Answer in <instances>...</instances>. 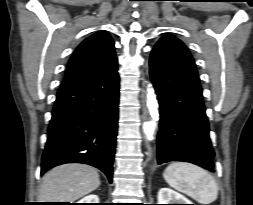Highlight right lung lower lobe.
Listing matches in <instances>:
<instances>
[{"instance_id": "98d812e1", "label": "right lung lower lobe", "mask_w": 253, "mask_h": 205, "mask_svg": "<svg viewBox=\"0 0 253 205\" xmlns=\"http://www.w3.org/2000/svg\"><path fill=\"white\" fill-rule=\"evenodd\" d=\"M117 60L105 69L64 81L57 93L41 174L64 163H85L112 182L118 128Z\"/></svg>"}]
</instances>
